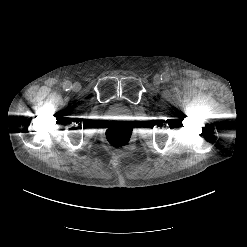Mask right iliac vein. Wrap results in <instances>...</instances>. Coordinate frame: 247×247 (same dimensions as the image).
I'll return each instance as SVG.
<instances>
[{"label": "right iliac vein", "instance_id": "1", "mask_svg": "<svg viewBox=\"0 0 247 247\" xmlns=\"http://www.w3.org/2000/svg\"><path fill=\"white\" fill-rule=\"evenodd\" d=\"M80 88H81V85L79 83L73 84V90L78 91V90H80Z\"/></svg>", "mask_w": 247, "mask_h": 247}]
</instances>
